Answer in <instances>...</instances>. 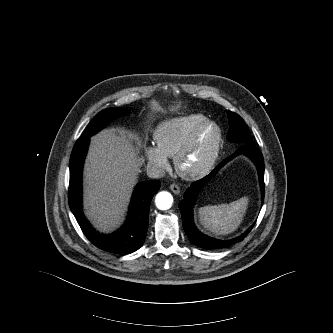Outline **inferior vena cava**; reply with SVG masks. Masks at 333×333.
<instances>
[{
  "mask_svg": "<svg viewBox=\"0 0 333 333\" xmlns=\"http://www.w3.org/2000/svg\"><path fill=\"white\" fill-rule=\"evenodd\" d=\"M147 175L150 178L158 179L165 176V171L158 165L148 164L146 169Z\"/></svg>",
  "mask_w": 333,
  "mask_h": 333,
  "instance_id": "obj_1",
  "label": "inferior vena cava"
}]
</instances>
